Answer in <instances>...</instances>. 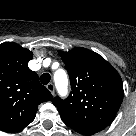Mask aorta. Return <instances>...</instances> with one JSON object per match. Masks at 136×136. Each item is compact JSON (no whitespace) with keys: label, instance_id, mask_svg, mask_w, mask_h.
<instances>
[{"label":"aorta","instance_id":"1","mask_svg":"<svg viewBox=\"0 0 136 136\" xmlns=\"http://www.w3.org/2000/svg\"><path fill=\"white\" fill-rule=\"evenodd\" d=\"M54 82L59 94L63 96L66 95L68 87V77L64 70L59 69L54 73Z\"/></svg>","mask_w":136,"mask_h":136}]
</instances>
